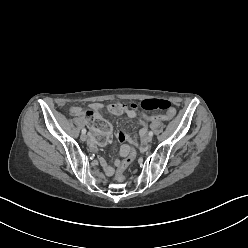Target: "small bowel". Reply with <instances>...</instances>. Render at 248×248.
Here are the masks:
<instances>
[{"mask_svg":"<svg viewBox=\"0 0 248 248\" xmlns=\"http://www.w3.org/2000/svg\"><path fill=\"white\" fill-rule=\"evenodd\" d=\"M88 110L92 111L93 116L95 118H102L101 113L103 111H109V112L117 114V115H125L129 118L137 119L138 124L141 126V130L139 132V137H141V138L145 137L146 132H147V125L150 123L147 121V119L144 118V115H145L144 113L141 114L140 116H138L136 111L134 110V108L129 107V106L124 107L120 112H113L111 110V105L106 106V105L101 104V103H93L89 106ZM85 111L86 110L80 106H74L70 109V114L72 116H75V117H84V116H86ZM87 124L92 126L90 122H87ZM136 138L137 137H131V136L125 134L124 132H119L116 134L115 139L113 141L114 142L117 141V142H121V143L134 142ZM92 146L93 147L96 146L95 141H92ZM128 148H129V146L127 144H123L121 146V149H120L121 156L127 155ZM119 163H120V161H116L117 166ZM101 164L103 166V169H104V172L106 175H108V176L113 175L114 169L111 165H108L103 159L101 160Z\"/></svg>","mask_w":248,"mask_h":248,"instance_id":"obj_1","label":"small bowel"}]
</instances>
